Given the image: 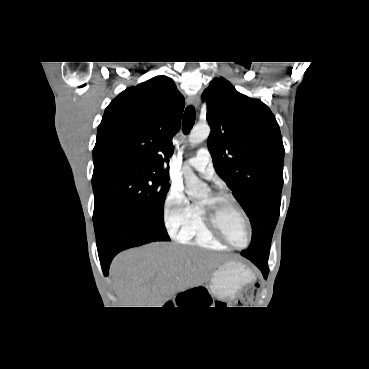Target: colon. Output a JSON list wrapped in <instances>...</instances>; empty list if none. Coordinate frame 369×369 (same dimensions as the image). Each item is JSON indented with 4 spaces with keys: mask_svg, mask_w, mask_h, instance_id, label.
<instances>
[{
    "mask_svg": "<svg viewBox=\"0 0 369 369\" xmlns=\"http://www.w3.org/2000/svg\"><path fill=\"white\" fill-rule=\"evenodd\" d=\"M255 290H249L245 294L241 295L239 299L235 302L237 307L249 306L254 300Z\"/></svg>",
    "mask_w": 369,
    "mask_h": 369,
    "instance_id": "5ec220e1",
    "label": "colon"
}]
</instances>
